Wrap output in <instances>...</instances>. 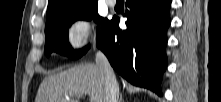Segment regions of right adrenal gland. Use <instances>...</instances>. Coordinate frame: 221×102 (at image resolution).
Masks as SVG:
<instances>
[{
    "mask_svg": "<svg viewBox=\"0 0 221 102\" xmlns=\"http://www.w3.org/2000/svg\"><path fill=\"white\" fill-rule=\"evenodd\" d=\"M119 102H123L122 94H120Z\"/></svg>",
    "mask_w": 221,
    "mask_h": 102,
    "instance_id": "obj_1",
    "label": "right adrenal gland"
}]
</instances>
